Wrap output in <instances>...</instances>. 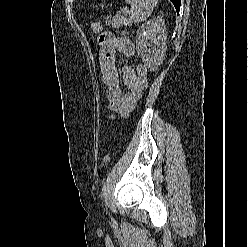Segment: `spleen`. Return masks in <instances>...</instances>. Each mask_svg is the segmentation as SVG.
Returning <instances> with one entry per match:
<instances>
[{"instance_id":"spleen-1","label":"spleen","mask_w":248,"mask_h":247,"mask_svg":"<svg viewBox=\"0 0 248 247\" xmlns=\"http://www.w3.org/2000/svg\"><path fill=\"white\" fill-rule=\"evenodd\" d=\"M130 4L129 20L131 22L140 23L145 21L152 13L158 0H125Z\"/></svg>"}]
</instances>
